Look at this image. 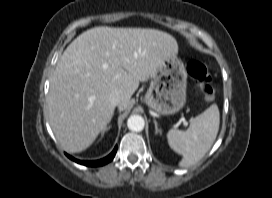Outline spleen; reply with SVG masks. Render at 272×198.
I'll list each match as a JSON object with an SVG mask.
<instances>
[{"label":"spleen","mask_w":272,"mask_h":198,"mask_svg":"<svg viewBox=\"0 0 272 198\" xmlns=\"http://www.w3.org/2000/svg\"><path fill=\"white\" fill-rule=\"evenodd\" d=\"M220 113L212 104L203 113L191 120L186 131L171 129L167 133L168 144L183 156L180 167H189L201 160L212 147L218 134Z\"/></svg>","instance_id":"spleen-1"}]
</instances>
